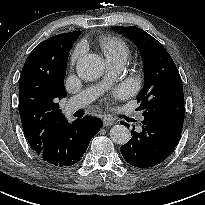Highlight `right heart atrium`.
<instances>
[{"label":"right heart atrium","mask_w":205,"mask_h":205,"mask_svg":"<svg viewBox=\"0 0 205 205\" xmlns=\"http://www.w3.org/2000/svg\"><path fill=\"white\" fill-rule=\"evenodd\" d=\"M83 52L84 47L82 45L76 46L71 55V62H76L82 56Z\"/></svg>","instance_id":"d8ad5b80"}]
</instances>
